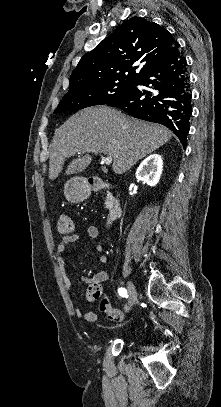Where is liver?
Segmentation results:
<instances>
[{
    "instance_id": "obj_1",
    "label": "liver",
    "mask_w": 221,
    "mask_h": 407,
    "mask_svg": "<svg viewBox=\"0 0 221 407\" xmlns=\"http://www.w3.org/2000/svg\"><path fill=\"white\" fill-rule=\"evenodd\" d=\"M172 132L158 124L133 119L107 106L90 107L72 115L56 131L50 145L49 179L55 180L66 158L78 153L65 174L84 171L90 153H104L113 159L115 174L128 171L138 160L164 145Z\"/></svg>"
}]
</instances>
